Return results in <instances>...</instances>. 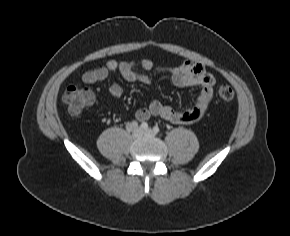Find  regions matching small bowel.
<instances>
[{
  "label": "small bowel",
  "instance_id": "c3829d8e",
  "mask_svg": "<svg viewBox=\"0 0 290 236\" xmlns=\"http://www.w3.org/2000/svg\"><path fill=\"white\" fill-rule=\"evenodd\" d=\"M116 72H119L128 82L143 83H150L153 74H168L172 83L177 87L199 86L201 88L195 104L185 110H177L157 99L152 100L147 108L136 111L135 117L140 122L154 116L175 124H193L203 117L212 100L213 77L203 65L191 60H185L180 65L170 68L156 67L150 59L140 61L109 60L102 66L86 71L82 76V81L94 84L105 80L110 74ZM109 91L116 99L123 94V89L118 83H112Z\"/></svg>",
  "mask_w": 290,
  "mask_h": 236
}]
</instances>
